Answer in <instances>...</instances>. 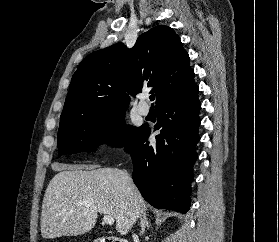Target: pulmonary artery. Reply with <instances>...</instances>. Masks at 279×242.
Returning <instances> with one entry per match:
<instances>
[{"label":"pulmonary artery","mask_w":279,"mask_h":242,"mask_svg":"<svg viewBox=\"0 0 279 242\" xmlns=\"http://www.w3.org/2000/svg\"><path fill=\"white\" fill-rule=\"evenodd\" d=\"M137 110L140 115L146 116L149 113V107L144 103L143 99L139 102Z\"/></svg>","instance_id":"pulmonary-artery-1"}]
</instances>
